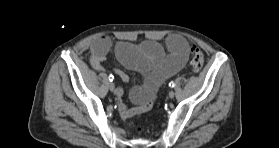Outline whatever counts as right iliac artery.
I'll use <instances>...</instances> for the list:
<instances>
[{"label":"right iliac artery","instance_id":"right-iliac-artery-1","mask_svg":"<svg viewBox=\"0 0 279 148\" xmlns=\"http://www.w3.org/2000/svg\"><path fill=\"white\" fill-rule=\"evenodd\" d=\"M108 78H109V81H111V82L114 80V76L112 74H110Z\"/></svg>","mask_w":279,"mask_h":148}]
</instances>
